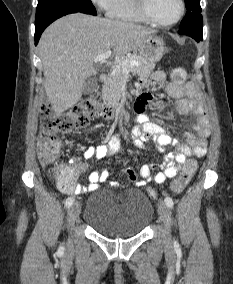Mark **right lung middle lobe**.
Returning <instances> with one entry per match:
<instances>
[{
    "mask_svg": "<svg viewBox=\"0 0 233 284\" xmlns=\"http://www.w3.org/2000/svg\"><path fill=\"white\" fill-rule=\"evenodd\" d=\"M76 12L97 15L91 0H38L35 25L58 15Z\"/></svg>",
    "mask_w": 233,
    "mask_h": 284,
    "instance_id": "1",
    "label": "right lung middle lobe"
}]
</instances>
